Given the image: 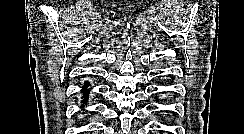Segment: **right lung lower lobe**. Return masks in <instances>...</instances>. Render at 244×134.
Here are the masks:
<instances>
[{
    "label": "right lung lower lobe",
    "mask_w": 244,
    "mask_h": 134,
    "mask_svg": "<svg viewBox=\"0 0 244 134\" xmlns=\"http://www.w3.org/2000/svg\"><path fill=\"white\" fill-rule=\"evenodd\" d=\"M90 84L88 83V82H86L85 84H84V86H82V94H83V101H82V103L83 104H86L87 105V99L89 98V94H90V92H89V90H87L86 88H88V86H89ZM83 106V105H82Z\"/></svg>",
    "instance_id": "right-lung-lower-lobe-1"
}]
</instances>
